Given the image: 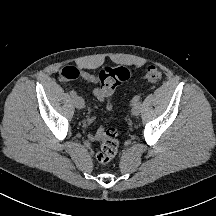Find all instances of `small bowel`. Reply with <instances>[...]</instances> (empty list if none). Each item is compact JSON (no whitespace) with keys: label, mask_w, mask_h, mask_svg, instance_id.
<instances>
[{"label":"small bowel","mask_w":216,"mask_h":216,"mask_svg":"<svg viewBox=\"0 0 216 216\" xmlns=\"http://www.w3.org/2000/svg\"><path fill=\"white\" fill-rule=\"evenodd\" d=\"M78 71H79V77L81 79H83L85 82L94 86L93 94L97 98V100L100 101L101 103H105L107 105V108H109L110 107L109 100H110V97L112 96V93L107 94L102 90V88L99 84V80L94 74H92L86 70H78ZM94 121H95L94 108L91 107L89 114L86 117L85 124L87 126H90L94 123ZM89 138L92 141L97 140L98 139V133H91L89 135Z\"/></svg>","instance_id":"1"}]
</instances>
